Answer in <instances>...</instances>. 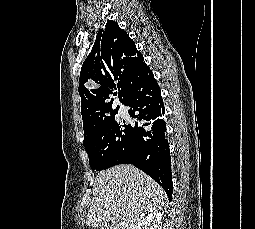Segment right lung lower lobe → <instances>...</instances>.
Returning a JSON list of instances; mask_svg holds the SVG:
<instances>
[{"label":"right lung lower lobe","mask_w":255,"mask_h":229,"mask_svg":"<svg viewBox=\"0 0 255 229\" xmlns=\"http://www.w3.org/2000/svg\"><path fill=\"white\" fill-rule=\"evenodd\" d=\"M125 106L129 114L138 119L130 125L133 138V155L120 164H133L147 173L165 190L169 201L173 197L171 157L161 90L149 67L143 68L133 79Z\"/></svg>","instance_id":"obj_1"}]
</instances>
